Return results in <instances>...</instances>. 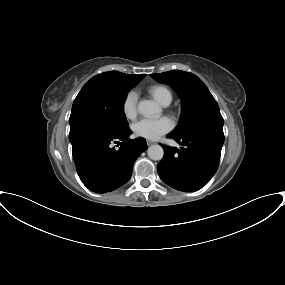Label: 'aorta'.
Masks as SVG:
<instances>
[{
	"label": "aorta",
	"mask_w": 285,
	"mask_h": 285,
	"mask_svg": "<svg viewBox=\"0 0 285 285\" xmlns=\"http://www.w3.org/2000/svg\"><path fill=\"white\" fill-rule=\"evenodd\" d=\"M138 111L145 117H157L161 113V108L152 100H142L138 104ZM148 157L154 161L161 160L164 155L160 145H152L147 149Z\"/></svg>",
	"instance_id": "1"
}]
</instances>
